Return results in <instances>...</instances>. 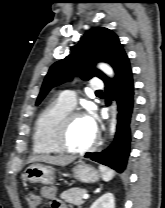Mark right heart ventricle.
Listing matches in <instances>:
<instances>
[{"instance_id":"right-heart-ventricle-1","label":"right heart ventricle","mask_w":165,"mask_h":208,"mask_svg":"<svg viewBox=\"0 0 165 208\" xmlns=\"http://www.w3.org/2000/svg\"><path fill=\"white\" fill-rule=\"evenodd\" d=\"M71 109L57 100L42 110L33 129L32 143L35 153H60L54 141L55 132L62 117Z\"/></svg>"}]
</instances>
